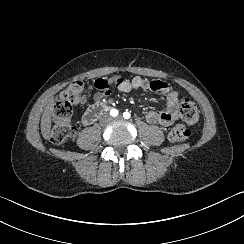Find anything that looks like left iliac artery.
<instances>
[{"label": "left iliac artery", "instance_id": "obj_1", "mask_svg": "<svg viewBox=\"0 0 244 244\" xmlns=\"http://www.w3.org/2000/svg\"><path fill=\"white\" fill-rule=\"evenodd\" d=\"M130 116H131V114H130L129 112H124V113H123V117H124L125 119H129Z\"/></svg>", "mask_w": 244, "mask_h": 244}]
</instances>
